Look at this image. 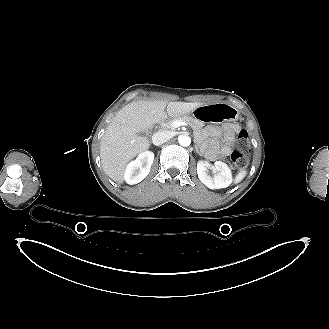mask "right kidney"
<instances>
[{
  "instance_id": "1",
  "label": "right kidney",
  "mask_w": 329,
  "mask_h": 329,
  "mask_svg": "<svg viewBox=\"0 0 329 329\" xmlns=\"http://www.w3.org/2000/svg\"><path fill=\"white\" fill-rule=\"evenodd\" d=\"M153 160L154 153L145 151L131 161L124 173L126 183L133 185L141 182L149 174Z\"/></svg>"
}]
</instances>
